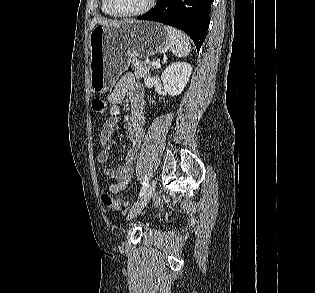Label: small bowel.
I'll use <instances>...</instances> for the list:
<instances>
[{
	"mask_svg": "<svg viewBox=\"0 0 315 293\" xmlns=\"http://www.w3.org/2000/svg\"><path fill=\"white\" fill-rule=\"evenodd\" d=\"M126 98H129L131 104V116L124 126L130 142V148L125 155L122 165L115 169L106 168L104 170L105 175L115 179V182L108 186V190L111 193L122 191L130 183L133 175L134 159L145 135L144 89L130 73L120 78L107 97L110 104V115L103 122L101 129V149L96 156L97 162L100 164L106 163L109 159L112 150V133L118 121L120 105Z\"/></svg>",
	"mask_w": 315,
	"mask_h": 293,
	"instance_id": "1",
	"label": "small bowel"
}]
</instances>
